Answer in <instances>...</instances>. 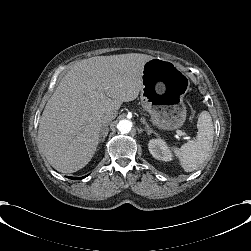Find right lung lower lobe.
<instances>
[{"instance_id": "right-lung-lower-lobe-1", "label": "right lung lower lobe", "mask_w": 251, "mask_h": 251, "mask_svg": "<svg viewBox=\"0 0 251 251\" xmlns=\"http://www.w3.org/2000/svg\"><path fill=\"white\" fill-rule=\"evenodd\" d=\"M86 176H84V177H79V178H76V177H68V178H70V179H83V178H85Z\"/></svg>"}]
</instances>
